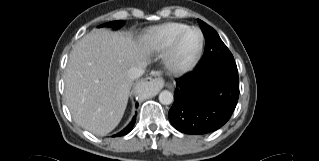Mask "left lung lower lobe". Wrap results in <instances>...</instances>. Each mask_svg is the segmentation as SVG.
<instances>
[{
    "mask_svg": "<svg viewBox=\"0 0 319 161\" xmlns=\"http://www.w3.org/2000/svg\"><path fill=\"white\" fill-rule=\"evenodd\" d=\"M238 71L223 67L196 69L177 81L168 117L180 132L207 134L231 117L239 98Z\"/></svg>",
    "mask_w": 319,
    "mask_h": 161,
    "instance_id": "obj_1",
    "label": "left lung lower lobe"
}]
</instances>
